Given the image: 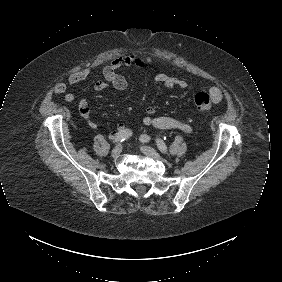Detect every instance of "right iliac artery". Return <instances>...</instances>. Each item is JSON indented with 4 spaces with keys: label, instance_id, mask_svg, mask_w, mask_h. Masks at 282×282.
Returning <instances> with one entry per match:
<instances>
[{
    "label": "right iliac artery",
    "instance_id": "82829eb1",
    "mask_svg": "<svg viewBox=\"0 0 282 282\" xmlns=\"http://www.w3.org/2000/svg\"><path fill=\"white\" fill-rule=\"evenodd\" d=\"M132 134H133V132L130 129H125L115 136L114 142L115 143L123 142V141L127 140L129 137H131Z\"/></svg>",
    "mask_w": 282,
    "mask_h": 282
}]
</instances>
